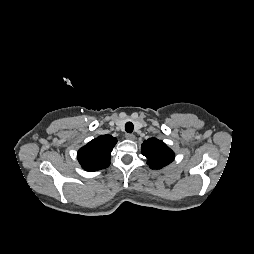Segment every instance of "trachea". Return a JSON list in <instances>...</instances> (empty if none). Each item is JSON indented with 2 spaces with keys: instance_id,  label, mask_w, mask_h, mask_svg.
Wrapping results in <instances>:
<instances>
[{
  "instance_id": "trachea-1",
  "label": "trachea",
  "mask_w": 254,
  "mask_h": 254,
  "mask_svg": "<svg viewBox=\"0 0 254 254\" xmlns=\"http://www.w3.org/2000/svg\"><path fill=\"white\" fill-rule=\"evenodd\" d=\"M133 128H134V126H133L132 122H127L125 124V130H126V132L132 133L133 132Z\"/></svg>"
}]
</instances>
